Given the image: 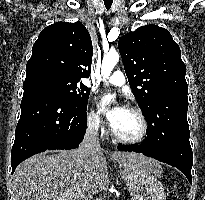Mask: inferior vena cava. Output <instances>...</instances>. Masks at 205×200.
<instances>
[{"mask_svg": "<svg viewBox=\"0 0 205 200\" xmlns=\"http://www.w3.org/2000/svg\"><path fill=\"white\" fill-rule=\"evenodd\" d=\"M99 148L100 144L98 138V122L91 121L88 124L85 137L77 152L87 157L95 153V151Z\"/></svg>", "mask_w": 205, "mask_h": 200, "instance_id": "obj_1", "label": "inferior vena cava"}]
</instances>
